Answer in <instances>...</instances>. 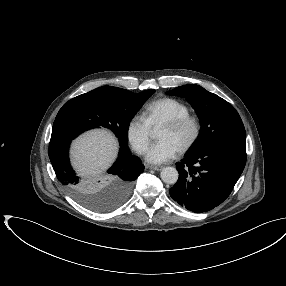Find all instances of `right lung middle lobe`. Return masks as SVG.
<instances>
[{
  "instance_id": "1",
  "label": "right lung middle lobe",
  "mask_w": 286,
  "mask_h": 286,
  "mask_svg": "<svg viewBox=\"0 0 286 286\" xmlns=\"http://www.w3.org/2000/svg\"><path fill=\"white\" fill-rule=\"evenodd\" d=\"M154 92L151 89L135 94L118 87H99L65 103L54 124L75 135L92 128L105 127L119 138L120 146L126 147L130 121ZM104 189L90 191L78 200L91 210L103 212L128 196L124 186H120L112 195L104 193Z\"/></svg>"
}]
</instances>
